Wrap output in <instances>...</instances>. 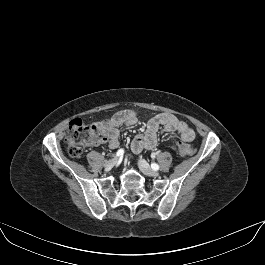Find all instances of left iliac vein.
Returning <instances> with one entry per match:
<instances>
[{"label": "left iliac vein", "instance_id": "obj_1", "mask_svg": "<svg viewBox=\"0 0 265 265\" xmlns=\"http://www.w3.org/2000/svg\"><path fill=\"white\" fill-rule=\"evenodd\" d=\"M139 168L147 176L157 177L159 175V173L157 171L153 170L149 166V164L147 163V161H145L144 159H140L139 160Z\"/></svg>", "mask_w": 265, "mask_h": 265}]
</instances>
